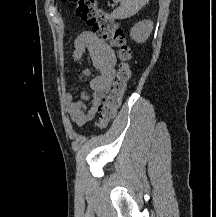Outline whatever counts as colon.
I'll return each mask as SVG.
<instances>
[{
  "instance_id": "obj_1",
  "label": "colon",
  "mask_w": 216,
  "mask_h": 217,
  "mask_svg": "<svg viewBox=\"0 0 216 217\" xmlns=\"http://www.w3.org/2000/svg\"><path fill=\"white\" fill-rule=\"evenodd\" d=\"M66 1L68 0H63V2ZM70 1L75 4L76 15L91 26L93 31L99 34L110 47L116 49L118 66L113 87L98 108V126L104 127L114 118L131 80L132 71L129 65L131 51L123 29L108 12L97 5L96 0Z\"/></svg>"
}]
</instances>
